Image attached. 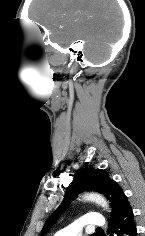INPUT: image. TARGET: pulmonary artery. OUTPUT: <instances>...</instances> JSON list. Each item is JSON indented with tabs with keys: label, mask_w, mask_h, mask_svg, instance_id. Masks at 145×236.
Masks as SVG:
<instances>
[{
	"label": "pulmonary artery",
	"mask_w": 145,
	"mask_h": 236,
	"mask_svg": "<svg viewBox=\"0 0 145 236\" xmlns=\"http://www.w3.org/2000/svg\"><path fill=\"white\" fill-rule=\"evenodd\" d=\"M105 221L101 214L91 213L82 216L69 226L58 231L54 236H80L84 227H102Z\"/></svg>",
	"instance_id": "pulmonary-artery-1"
}]
</instances>
